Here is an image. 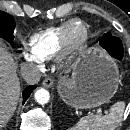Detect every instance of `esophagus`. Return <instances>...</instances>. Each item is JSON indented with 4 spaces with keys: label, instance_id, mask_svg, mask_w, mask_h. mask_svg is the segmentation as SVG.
Segmentation results:
<instances>
[{
    "label": "esophagus",
    "instance_id": "34e87169",
    "mask_svg": "<svg viewBox=\"0 0 130 130\" xmlns=\"http://www.w3.org/2000/svg\"><path fill=\"white\" fill-rule=\"evenodd\" d=\"M54 82H53V79L48 77V78H45L42 82V85L46 88H51L53 86Z\"/></svg>",
    "mask_w": 130,
    "mask_h": 130
}]
</instances>
